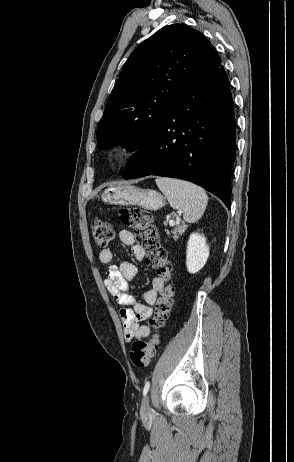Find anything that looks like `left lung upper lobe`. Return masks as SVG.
<instances>
[{"label": "left lung upper lobe", "instance_id": "left-lung-upper-lobe-1", "mask_svg": "<svg viewBox=\"0 0 294 462\" xmlns=\"http://www.w3.org/2000/svg\"><path fill=\"white\" fill-rule=\"evenodd\" d=\"M220 62L201 32L185 24L161 28L124 64L98 125V147L138 150L156 135L179 95Z\"/></svg>", "mask_w": 294, "mask_h": 462}]
</instances>
